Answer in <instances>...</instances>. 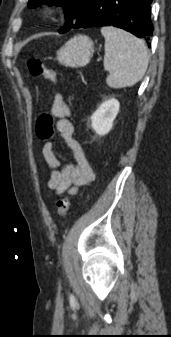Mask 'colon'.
I'll use <instances>...</instances> for the list:
<instances>
[{
	"instance_id": "1",
	"label": "colon",
	"mask_w": 171,
	"mask_h": 337,
	"mask_svg": "<svg viewBox=\"0 0 171 337\" xmlns=\"http://www.w3.org/2000/svg\"><path fill=\"white\" fill-rule=\"evenodd\" d=\"M27 67L30 74L34 77H43L50 81H55L57 79L56 73L36 58L29 59L27 61ZM53 122V116L50 113H43L38 117L35 125V130L40 139L50 140L53 137ZM69 206V197L64 193H59L56 204L57 216H65L69 210Z\"/></svg>"
}]
</instances>
